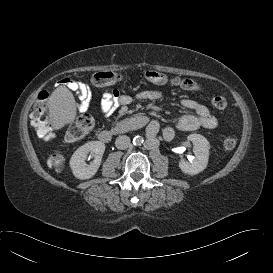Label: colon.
<instances>
[{
	"mask_svg": "<svg viewBox=\"0 0 273 273\" xmlns=\"http://www.w3.org/2000/svg\"><path fill=\"white\" fill-rule=\"evenodd\" d=\"M127 77L117 74L111 71L98 72L95 73L91 82L97 86H109L113 85ZM144 78L147 82L152 84L164 85L173 84L179 85L181 87H187L190 90H198V84L192 79L172 77L169 78L164 73L148 70L144 73ZM49 98V93L47 91H42L38 95V100L31 113V124L35 128L37 135L44 140H51L54 137V132L49 123L48 111H47V101ZM212 105L216 109H224L227 105V101L223 96L217 95L211 99ZM93 121L88 115L78 116L73 124L67 131L66 139L68 142H75L83 137H85L92 129ZM236 138L233 136H227L224 139V147L226 149H233L236 146ZM51 167L59 169L62 164V157L59 153H54L49 160Z\"/></svg>",
	"mask_w": 273,
	"mask_h": 273,
	"instance_id": "1",
	"label": "colon"
}]
</instances>
